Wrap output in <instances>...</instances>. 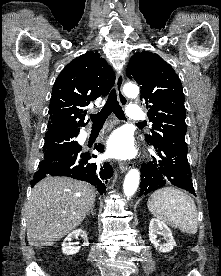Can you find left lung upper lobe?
<instances>
[{
	"mask_svg": "<svg viewBox=\"0 0 221 276\" xmlns=\"http://www.w3.org/2000/svg\"><path fill=\"white\" fill-rule=\"evenodd\" d=\"M126 75L140 85L141 99L146 101L147 115L154 129L152 135H146L147 143L154 146L165 143L188 150L184 93L171 65L158 54L143 51L131 57Z\"/></svg>",
	"mask_w": 221,
	"mask_h": 276,
	"instance_id": "obj_1",
	"label": "left lung upper lobe"
}]
</instances>
